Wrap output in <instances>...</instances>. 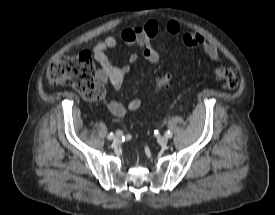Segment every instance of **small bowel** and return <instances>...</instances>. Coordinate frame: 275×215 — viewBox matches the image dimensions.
I'll list each match as a JSON object with an SVG mask.
<instances>
[{"label":"small bowel","instance_id":"c3829d8e","mask_svg":"<svg viewBox=\"0 0 275 215\" xmlns=\"http://www.w3.org/2000/svg\"><path fill=\"white\" fill-rule=\"evenodd\" d=\"M166 31L172 35L177 36L180 33V25L175 20H169L166 24ZM159 32V24L156 20H148L142 25H135L126 27L120 32L121 41L129 47L138 48L144 60L151 64H157L160 59L158 48L152 45ZM183 43L185 46L192 49H199L213 61H220L221 56L211 42L195 32H186L183 35ZM118 47V40L113 36H108L94 47V57L99 65L97 75L103 84H110L115 89H120L126 75L130 71V65L121 67L113 66L107 57V51L114 50ZM139 59V54L133 52L129 56V63L134 64ZM141 105L139 99H133L129 104L124 106L116 100L108 101L109 111L117 116L122 117L127 113V110H137Z\"/></svg>","mask_w":275,"mask_h":215}]
</instances>
